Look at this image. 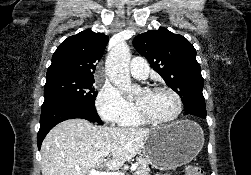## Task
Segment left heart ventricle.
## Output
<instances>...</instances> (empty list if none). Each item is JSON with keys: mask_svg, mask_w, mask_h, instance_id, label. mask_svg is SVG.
<instances>
[{"mask_svg": "<svg viewBox=\"0 0 251 175\" xmlns=\"http://www.w3.org/2000/svg\"><path fill=\"white\" fill-rule=\"evenodd\" d=\"M134 102L141 112L158 120L169 121L178 114V104L173 94L165 90H141Z\"/></svg>", "mask_w": 251, "mask_h": 175, "instance_id": "left-heart-ventricle-1", "label": "left heart ventricle"}]
</instances>
